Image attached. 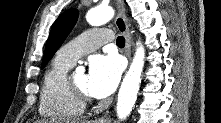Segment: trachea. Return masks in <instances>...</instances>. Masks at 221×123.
I'll list each match as a JSON object with an SVG mask.
<instances>
[{"label":"trachea","mask_w":221,"mask_h":123,"mask_svg":"<svg viewBox=\"0 0 221 123\" xmlns=\"http://www.w3.org/2000/svg\"><path fill=\"white\" fill-rule=\"evenodd\" d=\"M116 43L119 47H124L125 46V38L123 36L117 37Z\"/></svg>","instance_id":"1"}]
</instances>
